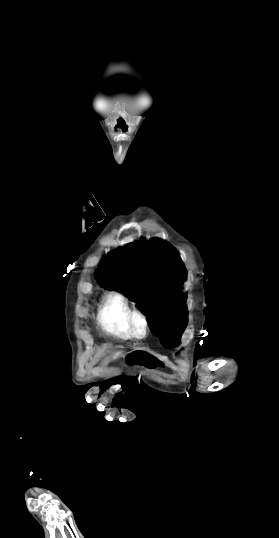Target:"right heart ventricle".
<instances>
[{"instance_id": "obj_1", "label": "right heart ventricle", "mask_w": 279, "mask_h": 538, "mask_svg": "<svg viewBox=\"0 0 279 538\" xmlns=\"http://www.w3.org/2000/svg\"><path fill=\"white\" fill-rule=\"evenodd\" d=\"M100 218H90L82 225L83 235H96L102 236L100 231L101 226ZM133 311L132 306L126 299V297L119 293L114 292L108 294L101 303L98 310V322L107 333L123 339L131 338L128 329V316Z\"/></svg>"}]
</instances>
